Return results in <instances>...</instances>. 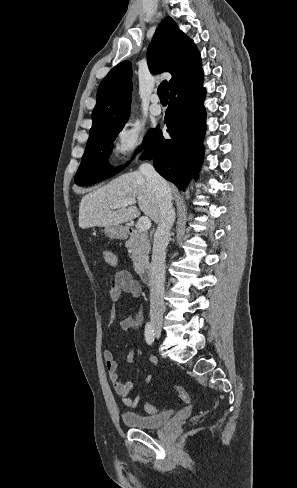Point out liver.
<instances>
[{
    "label": "liver",
    "instance_id": "obj_1",
    "mask_svg": "<svg viewBox=\"0 0 297 488\" xmlns=\"http://www.w3.org/2000/svg\"><path fill=\"white\" fill-rule=\"evenodd\" d=\"M172 191V188H170ZM126 198H137L140 210L155 223L161 220V202L153 186L143 173H125L109 184L86 194L79 205V227L118 226L140 215L137 207L130 205L117 210L110 208Z\"/></svg>",
    "mask_w": 297,
    "mask_h": 488
}]
</instances>
